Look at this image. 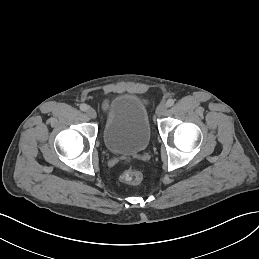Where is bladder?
Wrapping results in <instances>:
<instances>
[{
	"mask_svg": "<svg viewBox=\"0 0 259 259\" xmlns=\"http://www.w3.org/2000/svg\"><path fill=\"white\" fill-rule=\"evenodd\" d=\"M151 129L146 106L132 95H120L110 104L103 139L115 154L134 155L144 151L150 142Z\"/></svg>",
	"mask_w": 259,
	"mask_h": 259,
	"instance_id": "obj_1",
	"label": "bladder"
}]
</instances>
